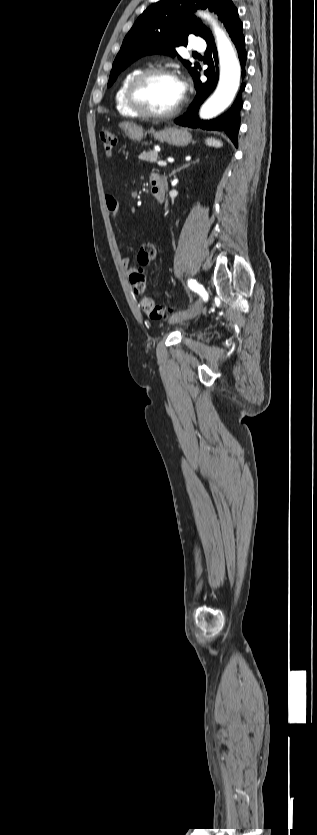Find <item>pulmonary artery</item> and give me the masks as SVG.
<instances>
[{
	"label": "pulmonary artery",
	"instance_id": "e3ab8cb5",
	"mask_svg": "<svg viewBox=\"0 0 317 835\" xmlns=\"http://www.w3.org/2000/svg\"><path fill=\"white\" fill-rule=\"evenodd\" d=\"M206 48L205 42L200 38H195L190 45V49L196 51H204Z\"/></svg>",
	"mask_w": 317,
	"mask_h": 835
}]
</instances>
